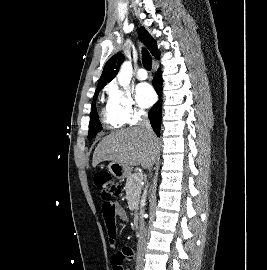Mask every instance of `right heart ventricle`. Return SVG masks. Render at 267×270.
Masks as SVG:
<instances>
[{"label": "right heart ventricle", "mask_w": 267, "mask_h": 270, "mask_svg": "<svg viewBox=\"0 0 267 270\" xmlns=\"http://www.w3.org/2000/svg\"><path fill=\"white\" fill-rule=\"evenodd\" d=\"M101 118L104 125L109 129H118L124 124L115 117L108 105L102 109Z\"/></svg>", "instance_id": "1"}]
</instances>
